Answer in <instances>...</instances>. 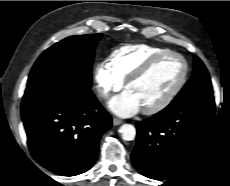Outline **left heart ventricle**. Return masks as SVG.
Masks as SVG:
<instances>
[{
    "label": "left heart ventricle",
    "mask_w": 230,
    "mask_h": 186,
    "mask_svg": "<svg viewBox=\"0 0 230 186\" xmlns=\"http://www.w3.org/2000/svg\"><path fill=\"white\" fill-rule=\"evenodd\" d=\"M183 73L182 61L168 56L157 62L141 79L131 83V91L141 104L142 109L161 101L179 82Z\"/></svg>",
    "instance_id": "b2bd125f"
}]
</instances>
